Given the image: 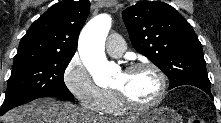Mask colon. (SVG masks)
<instances>
[{
	"instance_id": "5ec220e1",
	"label": "colon",
	"mask_w": 221,
	"mask_h": 123,
	"mask_svg": "<svg viewBox=\"0 0 221 123\" xmlns=\"http://www.w3.org/2000/svg\"><path fill=\"white\" fill-rule=\"evenodd\" d=\"M189 123H204L205 121L198 115H192L189 120Z\"/></svg>"
}]
</instances>
